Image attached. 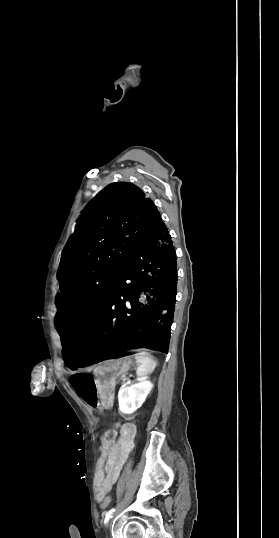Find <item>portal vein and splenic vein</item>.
<instances>
[{
    "mask_svg": "<svg viewBox=\"0 0 279 538\" xmlns=\"http://www.w3.org/2000/svg\"><path fill=\"white\" fill-rule=\"evenodd\" d=\"M130 379H134V376L126 377V383H129Z\"/></svg>",
    "mask_w": 279,
    "mask_h": 538,
    "instance_id": "portal-vein-and-splenic-vein-1",
    "label": "portal vein and splenic vein"
}]
</instances>
